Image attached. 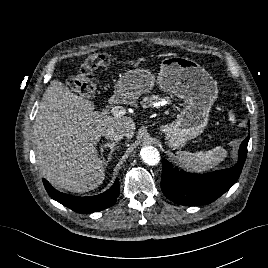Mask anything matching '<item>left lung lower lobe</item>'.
I'll list each match as a JSON object with an SVG mask.
<instances>
[{
  "label": "left lung lower lobe",
  "mask_w": 268,
  "mask_h": 268,
  "mask_svg": "<svg viewBox=\"0 0 268 268\" xmlns=\"http://www.w3.org/2000/svg\"><path fill=\"white\" fill-rule=\"evenodd\" d=\"M248 141L249 136L240 146L238 162L225 170L193 174L174 169L171 163L164 159L161 178L164 195L173 202L185 206L206 205L213 202L237 181L247 156Z\"/></svg>",
  "instance_id": "left-lung-lower-lobe-1"
}]
</instances>
